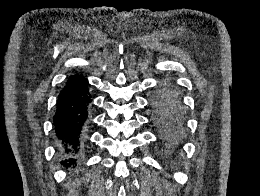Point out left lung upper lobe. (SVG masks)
Returning a JSON list of instances; mask_svg holds the SVG:
<instances>
[{
	"label": "left lung upper lobe",
	"mask_w": 260,
	"mask_h": 196,
	"mask_svg": "<svg viewBox=\"0 0 260 196\" xmlns=\"http://www.w3.org/2000/svg\"><path fill=\"white\" fill-rule=\"evenodd\" d=\"M151 107L160 141L167 147H177L186 134V115L180 96L172 86H163L153 95Z\"/></svg>",
	"instance_id": "5c2ea615"
}]
</instances>
